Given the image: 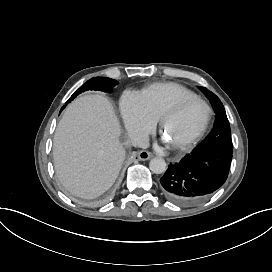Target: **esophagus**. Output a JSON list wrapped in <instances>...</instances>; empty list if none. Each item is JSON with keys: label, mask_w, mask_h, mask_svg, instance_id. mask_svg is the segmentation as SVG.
Here are the masks:
<instances>
[{"label": "esophagus", "mask_w": 272, "mask_h": 272, "mask_svg": "<svg viewBox=\"0 0 272 272\" xmlns=\"http://www.w3.org/2000/svg\"><path fill=\"white\" fill-rule=\"evenodd\" d=\"M138 158L141 161H146V160L152 158V154L147 150H141L138 153Z\"/></svg>", "instance_id": "34e87169"}]
</instances>
